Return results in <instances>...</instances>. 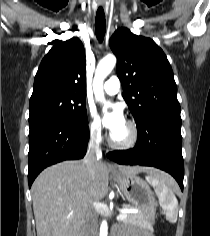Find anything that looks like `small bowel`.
I'll return each mask as SVG.
<instances>
[{
  "label": "small bowel",
  "instance_id": "obj_1",
  "mask_svg": "<svg viewBox=\"0 0 210 236\" xmlns=\"http://www.w3.org/2000/svg\"><path fill=\"white\" fill-rule=\"evenodd\" d=\"M115 236H153L148 232H131L129 230H116V235Z\"/></svg>",
  "mask_w": 210,
  "mask_h": 236
}]
</instances>
